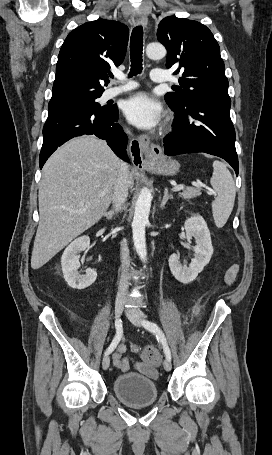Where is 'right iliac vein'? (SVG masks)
<instances>
[{"instance_id":"1","label":"right iliac vein","mask_w":272,"mask_h":455,"mask_svg":"<svg viewBox=\"0 0 272 455\" xmlns=\"http://www.w3.org/2000/svg\"><path fill=\"white\" fill-rule=\"evenodd\" d=\"M124 310V300L118 299L115 303V316L119 318ZM110 365V358L108 355H105L102 361V367L104 370H107Z\"/></svg>"}]
</instances>
